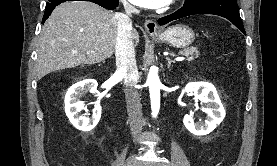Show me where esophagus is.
<instances>
[{"mask_svg": "<svg viewBox=\"0 0 277 166\" xmlns=\"http://www.w3.org/2000/svg\"><path fill=\"white\" fill-rule=\"evenodd\" d=\"M144 27L150 35H156V34L161 33V29L158 27L156 22L153 20H146L144 23Z\"/></svg>", "mask_w": 277, "mask_h": 166, "instance_id": "34e87169", "label": "esophagus"}]
</instances>
